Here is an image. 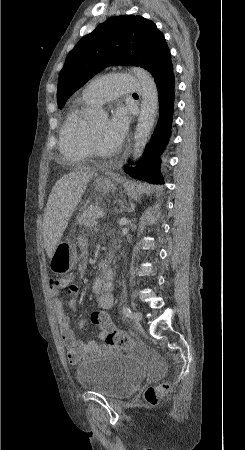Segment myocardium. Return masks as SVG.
<instances>
[{
	"label": "myocardium",
	"mask_w": 245,
	"mask_h": 450,
	"mask_svg": "<svg viewBox=\"0 0 245 450\" xmlns=\"http://www.w3.org/2000/svg\"><path fill=\"white\" fill-rule=\"evenodd\" d=\"M87 138H88V146L91 152V155L97 156V157H107V156H113L119 153V150L114 151H106L103 148L99 146L97 143L94 132H93V126L92 122H89V125L87 127Z\"/></svg>",
	"instance_id": "f54148a6"
}]
</instances>
